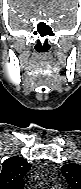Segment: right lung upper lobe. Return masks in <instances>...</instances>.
I'll use <instances>...</instances> for the list:
<instances>
[{
	"instance_id": "1",
	"label": "right lung upper lobe",
	"mask_w": 81,
	"mask_h": 189,
	"mask_svg": "<svg viewBox=\"0 0 81 189\" xmlns=\"http://www.w3.org/2000/svg\"><path fill=\"white\" fill-rule=\"evenodd\" d=\"M31 165L22 157H11L3 162L0 173V189H24V175Z\"/></svg>"
}]
</instances>
